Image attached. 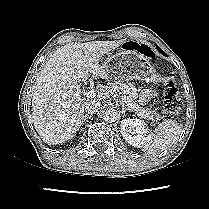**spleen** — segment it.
I'll use <instances>...</instances> for the list:
<instances>
[{
    "label": "spleen",
    "mask_w": 209,
    "mask_h": 209,
    "mask_svg": "<svg viewBox=\"0 0 209 209\" xmlns=\"http://www.w3.org/2000/svg\"><path fill=\"white\" fill-rule=\"evenodd\" d=\"M180 133L181 127L176 121H165L159 125L144 145V151L148 154L161 153L178 140Z\"/></svg>",
    "instance_id": "spleen-1"
}]
</instances>
